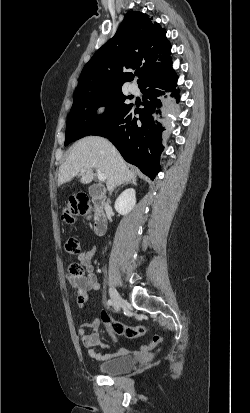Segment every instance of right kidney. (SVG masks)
I'll list each match as a JSON object with an SVG mask.
<instances>
[{
  "label": "right kidney",
  "mask_w": 250,
  "mask_h": 413,
  "mask_svg": "<svg viewBox=\"0 0 250 413\" xmlns=\"http://www.w3.org/2000/svg\"><path fill=\"white\" fill-rule=\"evenodd\" d=\"M136 204V196L134 189L123 191L115 201V210L121 215H127L133 210Z\"/></svg>",
  "instance_id": "obj_1"
}]
</instances>
